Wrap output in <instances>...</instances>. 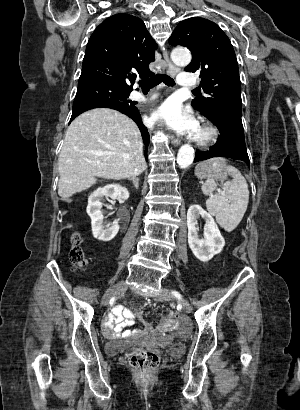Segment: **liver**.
Here are the masks:
<instances>
[{
    "mask_svg": "<svg viewBox=\"0 0 300 410\" xmlns=\"http://www.w3.org/2000/svg\"><path fill=\"white\" fill-rule=\"evenodd\" d=\"M146 167L137 125L118 111L92 109L79 115L67 129L58 159V194L67 200L90 188L97 177L132 178Z\"/></svg>",
    "mask_w": 300,
    "mask_h": 410,
    "instance_id": "1",
    "label": "liver"
}]
</instances>
